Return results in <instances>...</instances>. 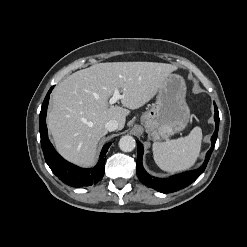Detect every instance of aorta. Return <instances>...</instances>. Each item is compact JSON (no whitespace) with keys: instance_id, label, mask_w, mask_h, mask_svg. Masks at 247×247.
Masks as SVG:
<instances>
[{"instance_id":"1","label":"aorta","mask_w":247,"mask_h":247,"mask_svg":"<svg viewBox=\"0 0 247 247\" xmlns=\"http://www.w3.org/2000/svg\"><path fill=\"white\" fill-rule=\"evenodd\" d=\"M136 146V141L132 136L125 135L119 141V147L124 152H131Z\"/></svg>"}]
</instances>
